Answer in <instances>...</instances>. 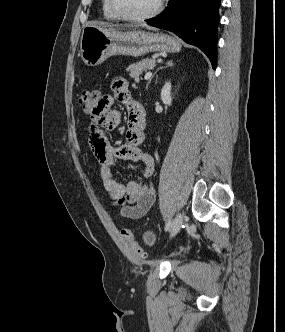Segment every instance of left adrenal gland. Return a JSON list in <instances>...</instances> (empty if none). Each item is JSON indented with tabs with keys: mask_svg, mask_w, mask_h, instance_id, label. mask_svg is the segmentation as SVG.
<instances>
[{
	"mask_svg": "<svg viewBox=\"0 0 285 332\" xmlns=\"http://www.w3.org/2000/svg\"><path fill=\"white\" fill-rule=\"evenodd\" d=\"M173 66V61L172 60H169L166 62V65L164 67H171ZM160 69H163V67H159L156 72L152 75V77L149 79L147 85H146V88H148L149 84L151 83V80L153 79V77L155 76V74L160 70Z\"/></svg>",
	"mask_w": 285,
	"mask_h": 332,
	"instance_id": "1",
	"label": "left adrenal gland"
}]
</instances>
